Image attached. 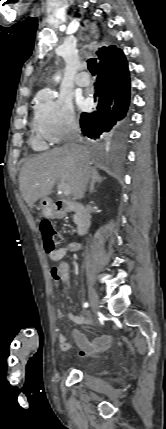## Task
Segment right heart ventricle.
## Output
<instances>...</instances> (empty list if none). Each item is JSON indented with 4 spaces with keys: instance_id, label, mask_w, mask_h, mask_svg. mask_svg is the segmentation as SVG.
I'll use <instances>...</instances> for the list:
<instances>
[{
    "instance_id": "1",
    "label": "right heart ventricle",
    "mask_w": 166,
    "mask_h": 429,
    "mask_svg": "<svg viewBox=\"0 0 166 429\" xmlns=\"http://www.w3.org/2000/svg\"><path fill=\"white\" fill-rule=\"evenodd\" d=\"M32 144L36 149H44L47 147L46 143L43 140V137L39 134L32 137Z\"/></svg>"
}]
</instances>
